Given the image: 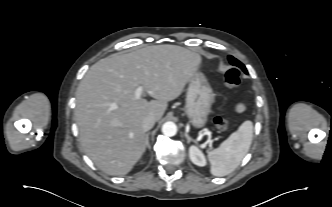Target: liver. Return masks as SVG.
<instances>
[{
    "label": "liver",
    "instance_id": "liver-1",
    "mask_svg": "<svg viewBox=\"0 0 332 207\" xmlns=\"http://www.w3.org/2000/svg\"><path fill=\"white\" fill-rule=\"evenodd\" d=\"M199 53L156 45L112 54L90 67L76 91L75 119L82 148L108 175H126L146 149L142 120L159 121L198 72ZM155 100L135 99V91Z\"/></svg>",
    "mask_w": 332,
    "mask_h": 207
}]
</instances>
